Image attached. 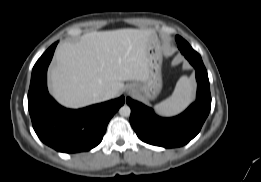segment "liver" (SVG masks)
<instances>
[{"instance_id": "1", "label": "liver", "mask_w": 261, "mask_h": 182, "mask_svg": "<svg viewBox=\"0 0 261 182\" xmlns=\"http://www.w3.org/2000/svg\"><path fill=\"white\" fill-rule=\"evenodd\" d=\"M152 29H118L84 34L77 43L65 42L55 52L50 89L59 103L78 108L117 96L124 81L146 82L147 46ZM109 99V98H108Z\"/></svg>"}]
</instances>
